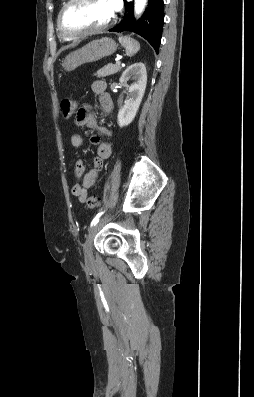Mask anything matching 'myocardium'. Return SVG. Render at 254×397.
<instances>
[{
  "label": "myocardium",
  "mask_w": 254,
  "mask_h": 397,
  "mask_svg": "<svg viewBox=\"0 0 254 397\" xmlns=\"http://www.w3.org/2000/svg\"><path fill=\"white\" fill-rule=\"evenodd\" d=\"M79 0H67V2L63 5V7L61 8L59 14H58V18H57V27L59 32L62 34V36L70 38V39H74V38H80L83 36H88V35H93V34H97V33H101L105 30H107L108 28H110L114 22H115V15H112V17L109 19L108 22H106L104 25L96 27V28H91V29H85V30H81V31H69L64 27L63 24V17L65 12L68 10V8L74 4L75 2H78Z\"/></svg>",
  "instance_id": "obj_1"
}]
</instances>
